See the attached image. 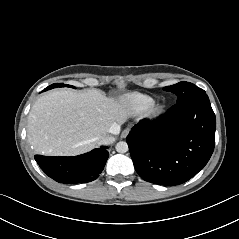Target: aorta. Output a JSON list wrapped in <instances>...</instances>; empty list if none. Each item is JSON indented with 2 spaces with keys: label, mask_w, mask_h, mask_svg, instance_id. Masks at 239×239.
<instances>
[{
  "label": "aorta",
  "mask_w": 239,
  "mask_h": 239,
  "mask_svg": "<svg viewBox=\"0 0 239 239\" xmlns=\"http://www.w3.org/2000/svg\"><path fill=\"white\" fill-rule=\"evenodd\" d=\"M116 151L118 153H126L128 151V144L124 141H120L116 144Z\"/></svg>",
  "instance_id": "1"
}]
</instances>
